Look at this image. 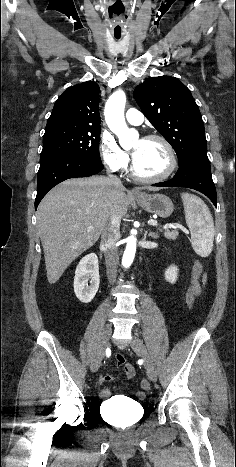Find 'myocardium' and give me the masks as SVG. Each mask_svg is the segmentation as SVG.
<instances>
[{"instance_id":"1","label":"myocardium","mask_w":236,"mask_h":467,"mask_svg":"<svg viewBox=\"0 0 236 467\" xmlns=\"http://www.w3.org/2000/svg\"><path fill=\"white\" fill-rule=\"evenodd\" d=\"M142 140H146V141L156 140V141L161 142L163 144V146L165 147L166 151H167L168 158H169V165H168V168L166 169V171L163 172L160 175H157V176H144V175H141L137 171L136 165H135V160L133 158L132 165H131V174H132V176L135 179L139 180V181L148 182V183L161 182V181H164V180H167L168 178H170L175 173V171L177 169V166H178L177 155H176V152H175L173 146L171 145V143L165 137H163L161 135H157V134L146 135L145 137H143Z\"/></svg>"}]
</instances>
